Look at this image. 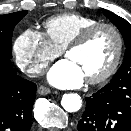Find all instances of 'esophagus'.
I'll return each instance as SVG.
<instances>
[{
  "instance_id": "obj_1",
  "label": "esophagus",
  "mask_w": 131,
  "mask_h": 131,
  "mask_svg": "<svg viewBox=\"0 0 131 131\" xmlns=\"http://www.w3.org/2000/svg\"><path fill=\"white\" fill-rule=\"evenodd\" d=\"M37 91L40 95H47L51 93V90L45 86H39Z\"/></svg>"
}]
</instances>
